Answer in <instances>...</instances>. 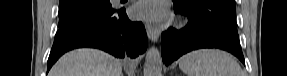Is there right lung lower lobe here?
I'll list each match as a JSON object with an SVG mask.
<instances>
[{
  "label": "right lung lower lobe",
  "mask_w": 287,
  "mask_h": 76,
  "mask_svg": "<svg viewBox=\"0 0 287 76\" xmlns=\"http://www.w3.org/2000/svg\"><path fill=\"white\" fill-rule=\"evenodd\" d=\"M79 47L99 48L118 58H136L147 48V35L142 23L131 22L122 9L77 20L57 31L47 71L62 54Z\"/></svg>",
  "instance_id": "obj_1"
}]
</instances>
